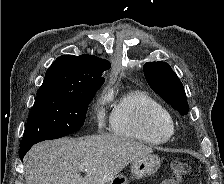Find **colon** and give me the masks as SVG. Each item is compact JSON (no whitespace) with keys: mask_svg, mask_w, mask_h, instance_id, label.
Segmentation results:
<instances>
[{"mask_svg":"<svg viewBox=\"0 0 224 184\" xmlns=\"http://www.w3.org/2000/svg\"><path fill=\"white\" fill-rule=\"evenodd\" d=\"M191 171V167L188 163L175 160L170 165V172L165 177L161 184H180Z\"/></svg>","mask_w":224,"mask_h":184,"instance_id":"5ec220e1","label":"colon"}]
</instances>
